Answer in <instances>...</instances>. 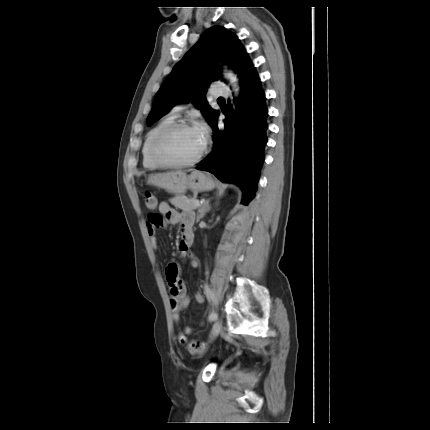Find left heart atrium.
Instances as JSON below:
<instances>
[{"mask_svg": "<svg viewBox=\"0 0 430 430\" xmlns=\"http://www.w3.org/2000/svg\"><path fill=\"white\" fill-rule=\"evenodd\" d=\"M196 132L198 133L203 145L206 144L209 136V129L205 123H199L194 127Z\"/></svg>", "mask_w": 430, "mask_h": 430, "instance_id": "39dd6f15", "label": "left heart atrium"}]
</instances>
